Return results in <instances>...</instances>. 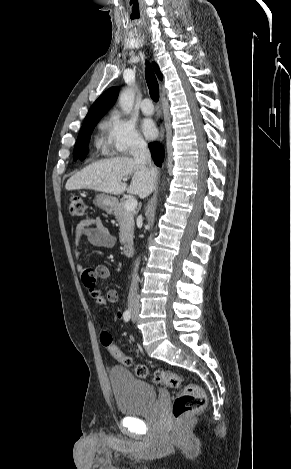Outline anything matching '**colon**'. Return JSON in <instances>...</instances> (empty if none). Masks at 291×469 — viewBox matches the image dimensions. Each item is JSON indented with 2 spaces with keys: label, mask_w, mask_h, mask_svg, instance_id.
<instances>
[{
  "label": "colon",
  "mask_w": 291,
  "mask_h": 469,
  "mask_svg": "<svg viewBox=\"0 0 291 469\" xmlns=\"http://www.w3.org/2000/svg\"><path fill=\"white\" fill-rule=\"evenodd\" d=\"M69 212L73 217H84L87 213L85 201L79 196H73L69 202ZM93 302L98 308H104L106 306V301L101 296H96ZM100 340L113 358L119 360L127 367H134L135 374L139 378L151 377L156 384L180 390L171 404V413L175 420H181L188 414L198 411L205 406L206 395L198 385L193 383L184 384L182 376L174 372L162 370L150 371L149 368L143 364H134L130 356L123 354L120 349L113 344L112 337L108 332H102Z\"/></svg>",
  "instance_id": "5ec220e1"
}]
</instances>
